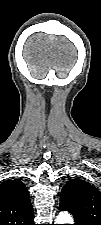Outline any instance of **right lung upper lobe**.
Here are the masks:
<instances>
[{
	"label": "right lung upper lobe",
	"instance_id": "cb5924a9",
	"mask_svg": "<svg viewBox=\"0 0 101 225\" xmlns=\"http://www.w3.org/2000/svg\"><path fill=\"white\" fill-rule=\"evenodd\" d=\"M0 225H35L29 192L19 179L0 184Z\"/></svg>",
	"mask_w": 101,
	"mask_h": 225
}]
</instances>
